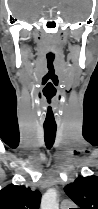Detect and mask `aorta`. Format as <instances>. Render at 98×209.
Instances as JSON below:
<instances>
[{"label":"aorta","instance_id":"762f6f07","mask_svg":"<svg viewBox=\"0 0 98 209\" xmlns=\"http://www.w3.org/2000/svg\"><path fill=\"white\" fill-rule=\"evenodd\" d=\"M57 191L51 188L42 196L40 209H59L57 201Z\"/></svg>","mask_w":98,"mask_h":209}]
</instances>
